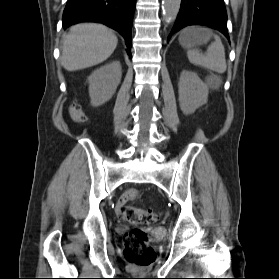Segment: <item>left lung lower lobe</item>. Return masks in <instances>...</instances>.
<instances>
[{"instance_id":"0a47b994","label":"left lung lower lobe","mask_w":279,"mask_h":279,"mask_svg":"<svg viewBox=\"0 0 279 279\" xmlns=\"http://www.w3.org/2000/svg\"><path fill=\"white\" fill-rule=\"evenodd\" d=\"M189 25H205L222 32L228 39L227 13L223 0H181L173 33Z\"/></svg>"}]
</instances>
